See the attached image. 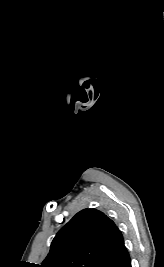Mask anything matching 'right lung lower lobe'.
Segmentation results:
<instances>
[{
	"label": "right lung lower lobe",
	"instance_id": "98d812e1",
	"mask_svg": "<svg viewBox=\"0 0 164 267\" xmlns=\"http://www.w3.org/2000/svg\"><path fill=\"white\" fill-rule=\"evenodd\" d=\"M99 267H131V260L126 247L106 259Z\"/></svg>",
	"mask_w": 164,
	"mask_h": 267
}]
</instances>
